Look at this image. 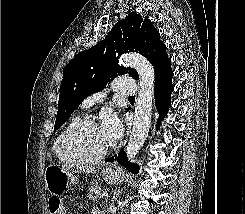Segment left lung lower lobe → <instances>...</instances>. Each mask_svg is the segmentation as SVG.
Wrapping results in <instances>:
<instances>
[{
    "label": "left lung lower lobe",
    "mask_w": 245,
    "mask_h": 214,
    "mask_svg": "<svg viewBox=\"0 0 245 214\" xmlns=\"http://www.w3.org/2000/svg\"><path fill=\"white\" fill-rule=\"evenodd\" d=\"M173 71L171 66H168L156 79L154 96L156 107L160 113L159 121L166 116L170 107V95L173 91L172 79ZM159 125V124H158ZM117 161L119 164L130 170L134 174L138 172V166L127 162V155L124 152V148L119 152L118 155L113 156L106 160V162Z\"/></svg>",
    "instance_id": "left-lung-lower-lobe-1"
}]
</instances>
